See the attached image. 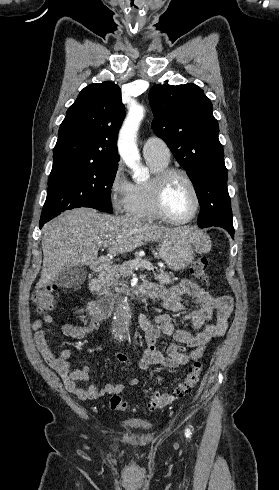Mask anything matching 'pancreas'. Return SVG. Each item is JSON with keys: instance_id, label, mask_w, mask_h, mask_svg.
Here are the masks:
<instances>
[{"instance_id": "cf45deb5", "label": "pancreas", "mask_w": 279, "mask_h": 490, "mask_svg": "<svg viewBox=\"0 0 279 490\" xmlns=\"http://www.w3.org/2000/svg\"><path fill=\"white\" fill-rule=\"evenodd\" d=\"M133 260L130 262H123L120 266H115V268H109L105 276L97 278L95 280V292H98V296H104V294H110L112 286H118L121 278H129L134 274L135 268L132 266ZM155 280H158L160 284H173L174 280L173 274H168L164 272L163 268L157 270V274H154Z\"/></svg>"}]
</instances>
